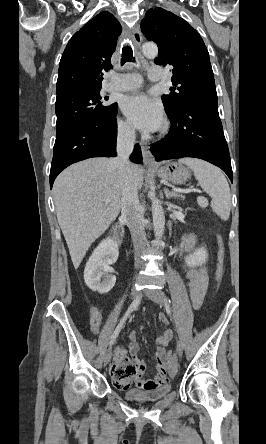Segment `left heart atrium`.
Returning a JSON list of instances; mask_svg holds the SVG:
<instances>
[{
  "instance_id": "1",
  "label": "left heart atrium",
  "mask_w": 266,
  "mask_h": 444,
  "mask_svg": "<svg viewBox=\"0 0 266 444\" xmlns=\"http://www.w3.org/2000/svg\"><path fill=\"white\" fill-rule=\"evenodd\" d=\"M122 109L131 123L142 131L153 132L162 125L164 117L162 107L144 93H135L126 97Z\"/></svg>"
}]
</instances>
